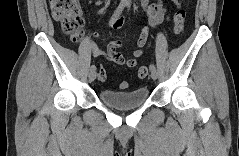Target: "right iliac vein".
Listing matches in <instances>:
<instances>
[{"mask_svg": "<svg viewBox=\"0 0 239 156\" xmlns=\"http://www.w3.org/2000/svg\"><path fill=\"white\" fill-rule=\"evenodd\" d=\"M96 78V69H91L89 72V80L92 82Z\"/></svg>", "mask_w": 239, "mask_h": 156, "instance_id": "1", "label": "right iliac vein"}]
</instances>
